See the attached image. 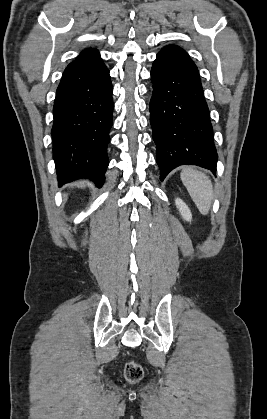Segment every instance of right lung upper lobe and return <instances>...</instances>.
Wrapping results in <instances>:
<instances>
[{
    "instance_id": "1",
    "label": "right lung upper lobe",
    "mask_w": 267,
    "mask_h": 419,
    "mask_svg": "<svg viewBox=\"0 0 267 419\" xmlns=\"http://www.w3.org/2000/svg\"><path fill=\"white\" fill-rule=\"evenodd\" d=\"M74 61L94 63L99 61L101 62L102 59L99 55V52L96 49L88 48L82 51Z\"/></svg>"
}]
</instances>
